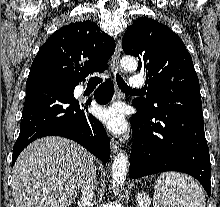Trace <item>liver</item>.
<instances>
[{
    "label": "liver",
    "instance_id": "1",
    "mask_svg": "<svg viewBox=\"0 0 220 207\" xmlns=\"http://www.w3.org/2000/svg\"><path fill=\"white\" fill-rule=\"evenodd\" d=\"M94 157L72 140L48 136L28 145L13 167L16 207H69Z\"/></svg>",
    "mask_w": 220,
    "mask_h": 207
}]
</instances>
